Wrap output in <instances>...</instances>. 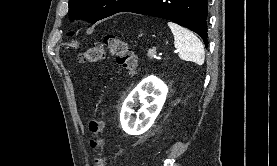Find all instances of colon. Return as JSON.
I'll use <instances>...</instances> for the list:
<instances>
[{"mask_svg":"<svg viewBox=\"0 0 277 166\" xmlns=\"http://www.w3.org/2000/svg\"><path fill=\"white\" fill-rule=\"evenodd\" d=\"M107 54L114 57L117 63L128 73H135L138 66V59L133 49L116 35L105 36L102 42H96L85 49L79 55V62L95 64L105 59ZM89 129L93 137L90 140V147L97 151L95 166H106V157L102 154L104 145L101 134L104 129V122L99 118H93L89 123Z\"/></svg>","mask_w":277,"mask_h":166,"instance_id":"1","label":"colon"}]
</instances>
